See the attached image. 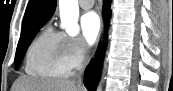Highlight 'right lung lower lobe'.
I'll return each mask as SVG.
<instances>
[{
    "label": "right lung lower lobe",
    "mask_w": 173,
    "mask_h": 91,
    "mask_svg": "<svg viewBox=\"0 0 173 91\" xmlns=\"http://www.w3.org/2000/svg\"><path fill=\"white\" fill-rule=\"evenodd\" d=\"M104 15H105V19L106 21H108L109 19V15H110V9H109V1H105L104 4ZM100 68L101 66H99L96 70H93V73H91V66L88 65L86 70H85V86L88 90L93 91L95 89V86L98 82L99 79V75H100Z\"/></svg>",
    "instance_id": "1"
}]
</instances>
